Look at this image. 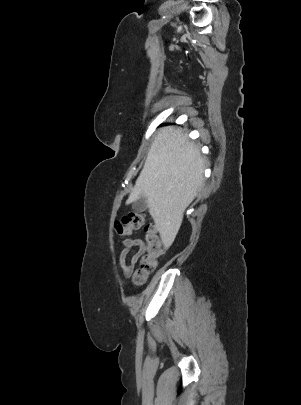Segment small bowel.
<instances>
[{
    "instance_id": "obj_1",
    "label": "small bowel",
    "mask_w": 301,
    "mask_h": 405,
    "mask_svg": "<svg viewBox=\"0 0 301 405\" xmlns=\"http://www.w3.org/2000/svg\"><path fill=\"white\" fill-rule=\"evenodd\" d=\"M123 249L119 254V263L120 267L122 268L123 274L126 277H129L136 265V262L141 255L144 242L141 238L134 237V238H126L122 242ZM135 248L136 252L131 256L130 260L126 262V258L131 249Z\"/></svg>"
}]
</instances>
